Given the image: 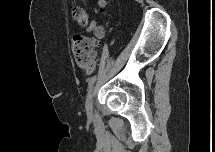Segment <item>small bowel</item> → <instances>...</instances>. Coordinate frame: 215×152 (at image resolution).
Returning a JSON list of instances; mask_svg holds the SVG:
<instances>
[{"label": "small bowel", "mask_w": 215, "mask_h": 152, "mask_svg": "<svg viewBox=\"0 0 215 152\" xmlns=\"http://www.w3.org/2000/svg\"><path fill=\"white\" fill-rule=\"evenodd\" d=\"M95 25H96V23H95V21H93V22L89 25L88 30H92V29L95 27Z\"/></svg>", "instance_id": "1"}]
</instances>
